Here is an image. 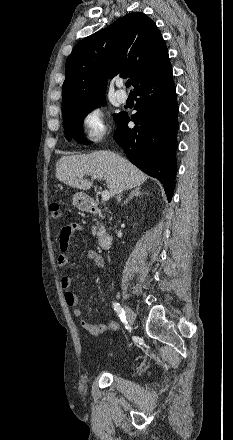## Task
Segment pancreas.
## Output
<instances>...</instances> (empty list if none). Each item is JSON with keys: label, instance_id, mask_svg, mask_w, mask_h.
Returning a JSON list of instances; mask_svg holds the SVG:
<instances>
[{"label": "pancreas", "instance_id": "1", "mask_svg": "<svg viewBox=\"0 0 233 440\" xmlns=\"http://www.w3.org/2000/svg\"><path fill=\"white\" fill-rule=\"evenodd\" d=\"M100 227L103 228L102 225H100V226L97 225V227L96 226L93 227V235H96V230H97V228H100Z\"/></svg>", "mask_w": 233, "mask_h": 440}]
</instances>
